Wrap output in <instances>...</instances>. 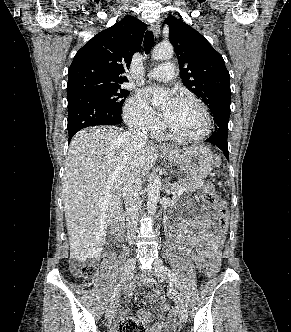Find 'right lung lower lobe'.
Wrapping results in <instances>:
<instances>
[{"label": "right lung lower lobe", "mask_w": 291, "mask_h": 332, "mask_svg": "<svg viewBox=\"0 0 291 332\" xmlns=\"http://www.w3.org/2000/svg\"><path fill=\"white\" fill-rule=\"evenodd\" d=\"M68 100L69 141L81 129L122 122L121 113L104 101L88 94H78Z\"/></svg>", "instance_id": "right-lung-lower-lobe-1"}]
</instances>
